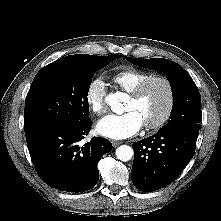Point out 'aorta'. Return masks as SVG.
I'll return each instance as SVG.
<instances>
[{
  "label": "aorta",
  "mask_w": 221,
  "mask_h": 221,
  "mask_svg": "<svg viewBox=\"0 0 221 221\" xmlns=\"http://www.w3.org/2000/svg\"><path fill=\"white\" fill-rule=\"evenodd\" d=\"M122 97L121 93H111L107 96L106 101L113 112L118 113L122 110ZM116 157L121 161H129L133 157V149L128 145H121L116 149Z\"/></svg>",
  "instance_id": "obj_1"
}]
</instances>
